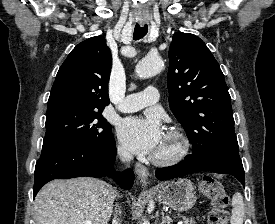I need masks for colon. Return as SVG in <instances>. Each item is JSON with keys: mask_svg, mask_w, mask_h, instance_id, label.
Wrapping results in <instances>:
<instances>
[{"mask_svg": "<svg viewBox=\"0 0 275 224\" xmlns=\"http://www.w3.org/2000/svg\"><path fill=\"white\" fill-rule=\"evenodd\" d=\"M200 192L208 197L213 204L208 214V224H227L229 196L223 185L213 177L206 176L199 183Z\"/></svg>", "mask_w": 275, "mask_h": 224, "instance_id": "colon-1", "label": "colon"}]
</instances>
